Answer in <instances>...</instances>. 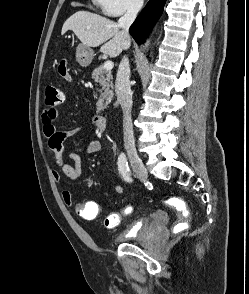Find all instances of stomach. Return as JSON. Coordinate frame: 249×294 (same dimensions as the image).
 <instances>
[{"label": "stomach", "mask_w": 249, "mask_h": 294, "mask_svg": "<svg viewBox=\"0 0 249 294\" xmlns=\"http://www.w3.org/2000/svg\"><path fill=\"white\" fill-rule=\"evenodd\" d=\"M94 57L93 50L85 46L83 44H80L76 49V61L81 65L82 67H87L90 65Z\"/></svg>", "instance_id": "1"}]
</instances>
